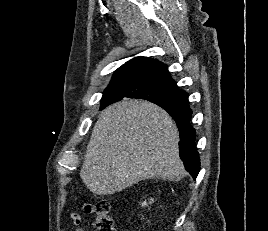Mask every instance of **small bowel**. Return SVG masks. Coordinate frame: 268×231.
I'll list each match as a JSON object with an SVG mask.
<instances>
[{
  "instance_id": "1",
  "label": "small bowel",
  "mask_w": 268,
  "mask_h": 231,
  "mask_svg": "<svg viewBox=\"0 0 268 231\" xmlns=\"http://www.w3.org/2000/svg\"><path fill=\"white\" fill-rule=\"evenodd\" d=\"M83 210L86 212H90L91 211V206L89 205H85L83 206ZM70 222L72 223V225H74L75 231H83L82 228L78 227L81 223V217L80 215H78L77 213H71L70 215Z\"/></svg>"
}]
</instances>
